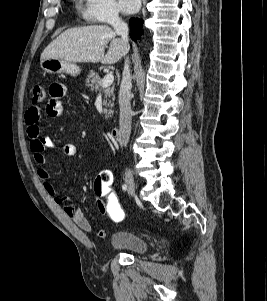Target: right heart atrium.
I'll use <instances>...</instances> for the list:
<instances>
[{"instance_id":"1","label":"right heart atrium","mask_w":267,"mask_h":301,"mask_svg":"<svg viewBox=\"0 0 267 301\" xmlns=\"http://www.w3.org/2000/svg\"><path fill=\"white\" fill-rule=\"evenodd\" d=\"M83 18L90 23H109L120 20L114 0H83Z\"/></svg>"}]
</instances>
